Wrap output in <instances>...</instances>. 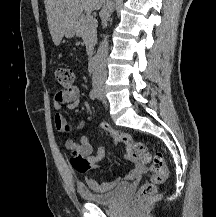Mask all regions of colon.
<instances>
[{
	"mask_svg": "<svg viewBox=\"0 0 216 217\" xmlns=\"http://www.w3.org/2000/svg\"><path fill=\"white\" fill-rule=\"evenodd\" d=\"M57 82L65 89L73 86L74 73L70 68L57 67L55 69ZM100 129L115 143L126 147V157L129 161L147 167L152 171L151 180L140 187L135 195L137 204L143 203L154 195L157 185L163 183L168 178V169L165 165L164 157L161 152L150 151L145 143L136 141L126 133L101 122ZM70 163L75 170L85 173L94 168L90 159L77 151H73L70 156Z\"/></svg>",
	"mask_w": 216,
	"mask_h": 217,
	"instance_id": "5ec220e1",
	"label": "colon"
}]
</instances>
